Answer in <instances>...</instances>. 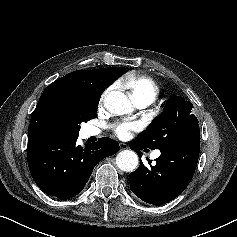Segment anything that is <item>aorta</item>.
<instances>
[{
	"mask_svg": "<svg viewBox=\"0 0 237 237\" xmlns=\"http://www.w3.org/2000/svg\"><path fill=\"white\" fill-rule=\"evenodd\" d=\"M105 108L112 114L124 115L133 111L132 104L125 94L119 91L109 92L104 98ZM138 156L132 150H123L116 156L118 168L124 172H132L138 166Z\"/></svg>",
	"mask_w": 237,
	"mask_h": 237,
	"instance_id": "aorta-1",
	"label": "aorta"
}]
</instances>
